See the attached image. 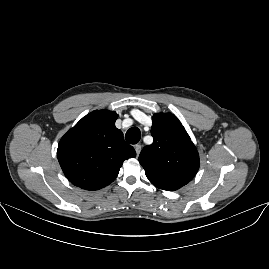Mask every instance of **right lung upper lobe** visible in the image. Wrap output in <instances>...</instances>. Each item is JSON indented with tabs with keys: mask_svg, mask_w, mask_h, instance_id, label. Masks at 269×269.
I'll return each mask as SVG.
<instances>
[{
	"mask_svg": "<svg viewBox=\"0 0 269 269\" xmlns=\"http://www.w3.org/2000/svg\"><path fill=\"white\" fill-rule=\"evenodd\" d=\"M117 117L112 111H93L60 140L58 161L75 186L101 189L114 181L124 160L136 156L115 126Z\"/></svg>",
	"mask_w": 269,
	"mask_h": 269,
	"instance_id": "obj_1",
	"label": "right lung upper lobe"
}]
</instances>
